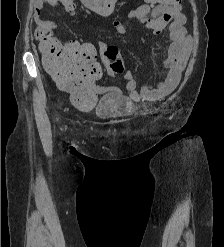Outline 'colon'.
I'll return each mask as SVG.
<instances>
[{"instance_id":"obj_1","label":"colon","mask_w":224,"mask_h":247,"mask_svg":"<svg viewBox=\"0 0 224 247\" xmlns=\"http://www.w3.org/2000/svg\"><path fill=\"white\" fill-rule=\"evenodd\" d=\"M148 3L168 7L174 0H145ZM67 11L74 8L73 0H63ZM46 50L44 66L48 73L64 89L71 93L73 104L79 108H91L97 102V95L91 83L101 76V68L95 61V49L89 44L70 43L58 48L57 39L45 28L37 32ZM104 57L115 74L123 72L124 64L118 49L107 47Z\"/></svg>"}]
</instances>
